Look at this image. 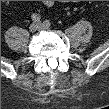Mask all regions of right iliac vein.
Listing matches in <instances>:
<instances>
[{
    "mask_svg": "<svg viewBox=\"0 0 109 109\" xmlns=\"http://www.w3.org/2000/svg\"><path fill=\"white\" fill-rule=\"evenodd\" d=\"M39 28H40V26H39L37 23H32V24L30 25V27H29V30H30L31 32H35V31H37Z\"/></svg>",
    "mask_w": 109,
    "mask_h": 109,
    "instance_id": "right-iliac-vein-1",
    "label": "right iliac vein"
}]
</instances>
